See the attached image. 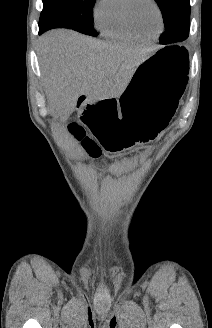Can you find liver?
Wrapping results in <instances>:
<instances>
[{
    "label": "liver",
    "mask_w": 212,
    "mask_h": 328,
    "mask_svg": "<svg viewBox=\"0 0 212 328\" xmlns=\"http://www.w3.org/2000/svg\"><path fill=\"white\" fill-rule=\"evenodd\" d=\"M152 52L69 30L47 32L41 38L40 64L50 110L66 121L81 95L93 100L118 98Z\"/></svg>",
    "instance_id": "1"
}]
</instances>
